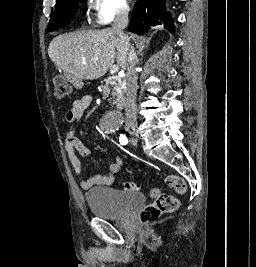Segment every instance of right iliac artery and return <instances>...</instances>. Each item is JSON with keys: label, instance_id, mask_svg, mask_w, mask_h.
Instances as JSON below:
<instances>
[{"label": "right iliac artery", "instance_id": "82829eb1", "mask_svg": "<svg viewBox=\"0 0 256 267\" xmlns=\"http://www.w3.org/2000/svg\"><path fill=\"white\" fill-rule=\"evenodd\" d=\"M119 142L121 145H126L128 143V139L126 136L122 135L119 137Z\"/></svg>", "mask_w": 256, "mask_h": 267}]
</instances>
